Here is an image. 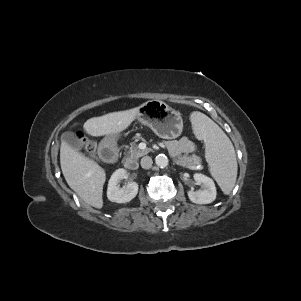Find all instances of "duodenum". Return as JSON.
<instances>
[{"instance_id": "obj_1", "label": "duodenum", "mask_w": 301, "mask_h": 301, "mask_svg": "<svg viewBox=\"0 0 301 301\" xmlns=\"http://www.w3.org/2000/svg\"><path fill=\"white\" fill-rule=\"evenodd\" d=\"M122 154V150L111 140L101 141L97 150V157L99 161L107 163L110 166L119 165ZM124 166L128 170H135L137 168V163L132 159H126Z\"/></svg>"}]
</instances>
